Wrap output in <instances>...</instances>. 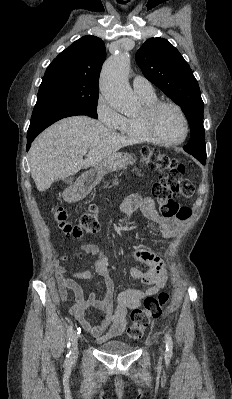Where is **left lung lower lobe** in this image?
I'll return each instance as SVG.
<instances>
[{
	"instance_id": "left-lung-lower-lobe-1",
	"label": "left lung lower lobe",
	"mask_w": 232,
	"mask_h": 399,
	"mask_svg": "<svg viewBox=\"0 0 232 399\" xmlns=\"http://www.w3.org/2000/svg\"><path fill=\"white\" fill-rule=\"evenodd\" d=\"M202 164H205L206 160H199Z\"/></svg>"
}]
</instances>
